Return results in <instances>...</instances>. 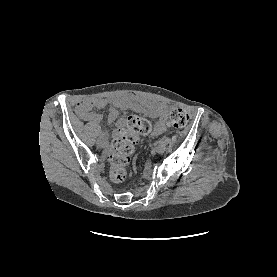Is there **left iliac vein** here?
<instances>
[{
  "label": "left iliac vein",
  "mask_w": 277,
  "mask_h": 277,
  "mask_svg": "<svg viewBox=\"0 0 277 277\" xmlns=\"http://www.w3.org/2000/svg\"><path fill=\"white\" fill-rule=\"evenodd\" d=\"M165 150H166V146H165L164 144H159V145L156 147V149H155V151H156L158 154L164 153Z\"/></svg>",
  "instance_id": "4c4485c4"
}]
</instances>
